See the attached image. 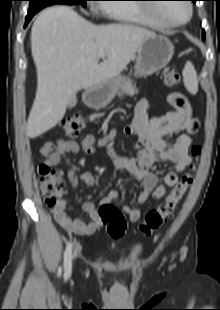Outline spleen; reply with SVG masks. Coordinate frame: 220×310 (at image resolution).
<instances>
[{"instance_id":"1","label":"spleen","mask_w":220,"mask_h":310,"mask_svg":"<svg viewBox=\"0 0 220 310\" xmlns=\"http://www.w3.org/2000/svg\"><path fill=\"white\" fill-rule=\"evenodd\" d=\"M183 78L187 90L191 94H196L198 91V79H197V73L192 63L188 62L185 65L183 70Z\"/></svg>"}]
</instances>
